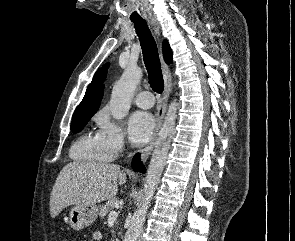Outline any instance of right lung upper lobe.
I'll return each mask as SVG.
<instances>
[{
    "instance_id": "1",
    "label": "right lung upper lobe",
    "mask_w": 295,
    "mask_h": 241,
    "mask_svg": "<svg viewBox=\"0 0 295 241\" xmlns=\"http://www.w3.org/2000/svg\"><path fill=\"white\" fill-rule=\"evenodd\" d=\"M163 57L167 64L172 62V50L167 40L163 41ZM109 64L107 63L101 69L97 70L92 82L89 84L85 96L81 103L77 106L75 114L96 112L99 108L102 96H103V85L102 82L106 77V70Z\"/></svg>"
}]
</instances>
